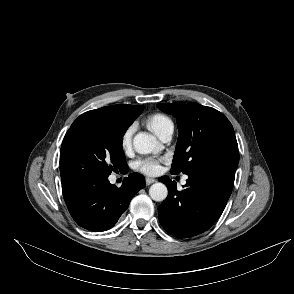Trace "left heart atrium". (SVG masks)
Instances as JSON below:
<instances>
[{"label": "left heart atrium", "mask_w": 294, "mask_h": 294, "mask_svg": "<svg viewBox=\"0 0 294 294\" xmlns=\"http://www.w3.org/2000/svg\"><path fill=\"white\" fill-rule=\"evenodd\" d=\"M137 171L147 175H156L160 171L159 160L153 157L142 158L134 163Z\"/></svg>", "instance_id": "39dd6f15"}]
</instances>
